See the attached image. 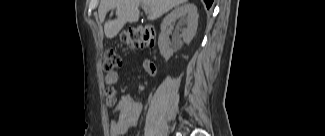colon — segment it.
<instances>
[{
  "mask_svg": "<svg viewBox=\"0 0 325 136\" xmlns=\"http://www.w3.org/2000/svg\"><path fill=\"white\" fill-rule=\"evenodd\" d=\"M120 39L130 48L150 47L154 44V28L150 25L133 26L122 32ZM122 64V59L113 49L104 52L103 69L110 73Z\"/></svg>",
  "mask_w": 325,
  "mask_h": 136,
  "instance_id": "obj_1",
  "label": "colon"
}]
</instances>
